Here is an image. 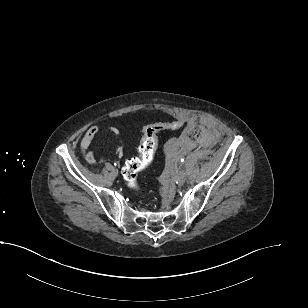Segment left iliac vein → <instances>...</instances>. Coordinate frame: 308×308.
Wrapping results in <instances>:
<instances>
[{
  "label": "left iliac vein",
  "instance_id": "left-iliac-vein-1",
  "mask_svg": "<svg viewBox=\"0 0 308 308\" xmlns=\"http://www.w3.org/2000/svg\"><path fill=\"white\" fill-rule=\"evenodd\" d=\"M175 178L179 183H184L186 180V174L184 171H180L175 175Z\"/></svg>",
  "mask_w": 308,
  "mask_h": 308
}]
</instances>
